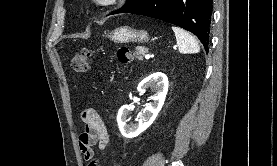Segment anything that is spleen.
<instances>
[{"label": "spleen", "instance_id": "spleen-1", "mask_svg": "<svg viewBox=\"0 0 277 166\" xmlns=\"http://www.w3.org/2000/svg\"><path fill=\"white\" fill-rule=\"evenodd\" d=\"M172 30L175 33L180 53L194 54L200 52L198 41L190 33L176 26H173Z\"/></svg>", "mask_w": 277, "mask_h": 166}]
</instances>
